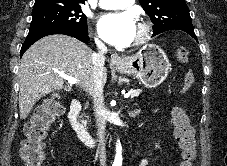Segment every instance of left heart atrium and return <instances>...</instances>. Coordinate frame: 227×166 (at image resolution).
<instances>
[{"label":"left heart atrium","mask_w":227,"mask_h":166,"mask_svg":"<svg viewBox=\"0 0 227 166\" xmlns=\"http://www.w3.org/2000/svg\"><path fill=\"white\" fill-rule=\"evenodd\" d=\"M136 22L129 12L106 14L98 21L101 37L113 45H127L136 33Z\"/></svg>","instance_id":"39dd6f15"}]
</instances>
